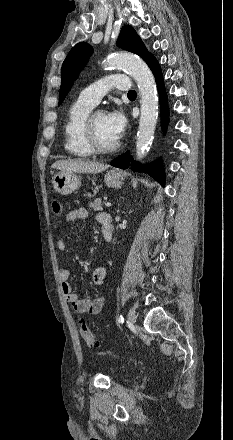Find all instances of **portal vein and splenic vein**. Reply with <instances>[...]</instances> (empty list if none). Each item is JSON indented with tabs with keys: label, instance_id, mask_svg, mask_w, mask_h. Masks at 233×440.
<instances>
[{
	"label": "portal vein and splenic vein",
	"instance_id": "obj_1",
	"mask_svg": "<svg viewBox=\"0 0 233 440\" xmlns=\"http://www.w3.org/2000/svg\"><path fill=\"white\" fill-rule=\"evenodd\" d=\"M111 205H112V204H111L110 202H107V203L105 204L106 207H111Z\"/></svg>",
	"mask_w": 233,
	"mask_h": 440
}]
</instances>
